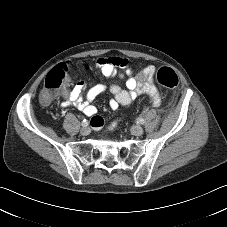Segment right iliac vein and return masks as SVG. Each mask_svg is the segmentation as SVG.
Wrapping results in <instances>:
<instances>
[{"label": "right iliac vein", "instance_id": "obj_1", "mask_svg": "<svg viewBox=\"0 0 227 227\" xmlns=\"http://www.w3.org/2000/svg\"><path fill=\"white\" fill-rule=\"evenodd\" d=\"M89 133H90V128H89V127L85 126V127H83V128L81 129V134H82V135L86 136V135H88Z\"/></svg>", "mask_w": 227, "mask_h": 227}]
</instances>
